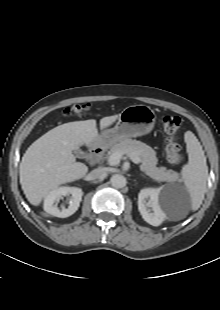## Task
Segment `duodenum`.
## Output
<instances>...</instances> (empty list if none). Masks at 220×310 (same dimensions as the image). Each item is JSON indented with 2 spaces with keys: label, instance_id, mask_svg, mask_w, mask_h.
I'll return each instance as SVG.
<instances>
[{
  "label": "duodenum",
  "instance_id": "obj_1",
  "mask_svg": "<svg viewBox=\"0 0 220 310\" xmlns=\"http://www.w3.org/2000/svg\"><path fill=\"white\" fill-rule=\"evenodd\" d=\"M104 152V147L102 145L94 146L89 152V160L91 163H96L101 158Z\"/></svg>",
  "mask_w": 220,
  "mask_h": 310
}]
</instances>
